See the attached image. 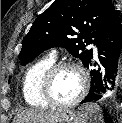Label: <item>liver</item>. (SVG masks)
Wrapping results in <instances>:
<instances>
[{
	"label": "liver",
	"mask_w": 122,
	"mask_h": 123,
	"mask_svg": "<svg viewBox=\"0 0 122 123\" xmlns=\"http://www.w3.org/2000/svg\"><path fill=\"white\" fill-rule=\"evenodd\" d=\"M61 111L25 110L19 112L13 123H50Z\"/></svg>",
	"instance_id": "1"
}]
</instances>
